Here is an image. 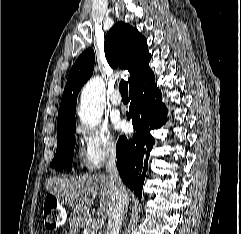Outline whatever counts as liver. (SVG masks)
<instances>
[{
  "label": "liver",
  "mask_w": 241,
  "mask_h": 234,
  "mask_svg": "<svg viewBox=\"0 0 241 234\" xmlns=\"http://www.w3.org/2000/svg\"><path fill=\"white\" fill-rule=\"evenodd\" d=\"M45 187L62 203L84 217L97 196L100 197L97 215L106 219L111 213L112 185L106 174L95 173L70 178L50 177L46 180ZM127 194H130L129 190Z\"/></svg>",
  "instance_id": "obj_1"
}]
</instances>
